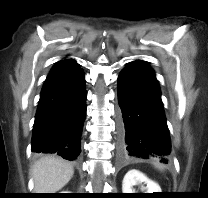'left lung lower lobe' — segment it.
<instances>
[{
  "label": "left lung lower lobe",
  "mask_w": 208,
  "mask_h": 198,
  "mask_svg": "<svg viewBox=\"0 0 208 198\" xmlns=\"http://www.w3.org/2000/svg\"><path fill=\"white\" fill-rule=\"evenodd\" d=\"M119 153L124 159L158 157L168 162L169 130L154 71L132 61L118 77Z\"/></svg>",
  "instance_id": "1"
}]
</instances>
